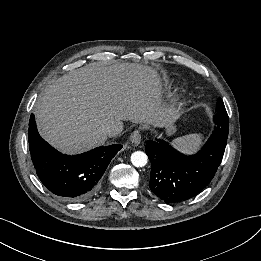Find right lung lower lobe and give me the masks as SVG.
<instances>
[{
	"instance_id": "right-lung-lower-lobe-1",
	"label": "right lung lower lobe",
	"mask_w": 261,
	"mask_h": 261,
	"mask_svg": "<svg viewBox=\"0 0 261 261\" xmlns=\"http://www.w3.org/2000/svg\"><path fill=\"white\" fill-rule=\"evenodd\" d=\"M28 141L41 182L49 191L69 201H82L92 196L111 159L122 148V145L113 144L79 155L62 154L40 137L33 114L30 116Z\"/></svg>"
}]
</instances>
